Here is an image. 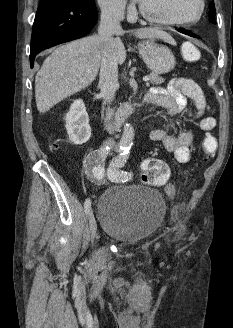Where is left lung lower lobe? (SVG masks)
<instances>
[{
  "mask_svg": "<svg viewBox=\"0 0 233 328\" xmlns=\"http://www.w3.org/2000/svg\"><path fill=\"white\" fill-rule=\"evenodd\" d=\"M179 32L183 33V34H186V35H189V36H192V37H196V38H199L198 35H195L189 31H187L186 29H178Z\"/></svg>",
  "mask_w": 233,
  "mask_h": 328,
  "instance_id": "obj_1",
  "label": "left lung lower lobe"
}]
</instances>
